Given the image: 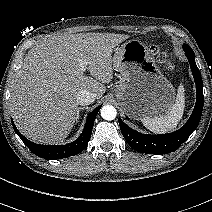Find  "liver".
I'll return each mask as SVG.
<instances>
[{
    "label": "liver",
    "instance_id": "1",
    "mask_svg": "<svg viewBox=\"0 0 212 212\" xmlns=\"http://www.w3.org/2000/svg\"><path fill=\"white\" fill-rule=\"evenodd\" d=\"M128 35L59 34L41 40L25 56L11 92V114L19 131L44 144L62 142L70 133L81 90L100 99L113 79L112 51ZM86 62L91 76L81 69Z\"/></svg>",
    "mask_w": 212,
    "mask_h": 212
}]
</instances>
